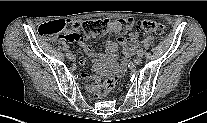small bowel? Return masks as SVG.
I'll list each match as a JSON object with an SVG mask.
<instances>
[{"mask_svg": "<svg viewBox=\"0 0 207 123\" xmlns=\"http://www.w3.org/2000/svg\"><path fill=\"white\" fill-rule=\"evenodd\" d=\"M109 31L121 34L119 40L121 45L123 46L124 62L120 67H116L115 65L118 56V46L114 41L108 40L106 42L105 45L106 54L105 56H102L101 54L96 53L90 45L85 43L84 37L74 38V39L70 38L72 32L66 25H64L63 28V36L66 40L70 42H77L78 44H80V46H82V48L84 49V51L89 57H96L101 60L107 61L112 66V68L116 70L117 73L121 74L124 71L125 64L129 61V59L131 58V56L134 54L135 50L138 47V34L132 33L129 36H125L124 32H122L121 29L116 24H112ZM84 64H85V60H81L80 65L83 66Z\"/></svg>", "mask_w": 207, "mask_h": 123, "instance_id": "obj_1", "label": "small bowel"}]
</instances>
